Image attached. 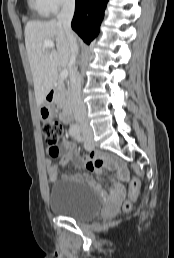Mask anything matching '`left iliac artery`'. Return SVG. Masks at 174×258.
Segmentation results:
<instances>
[{
  "label": "left iliac artery",
  "mask_w": 174,
  "mask_h": 258,
  "mask_svg": "<svg viewBox=\"0 0 174 258\" xmlns=\"http://www.w3.org/2000/svg\"><path fill=\"white\" fill-rule=\"evenodd\" d=\"M75 138H76V140L79 141V142H81V141L83 140L82 137L79 135V133H77V134L75 135Z\"/></svg>",
  "instance_id": "obj_1"
}]
</instances>
